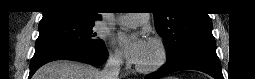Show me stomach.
Segmentation results:
<instances>
[{"instance_id": "1", "label": "stomach", "mask_w": 255, "mask_h": 79, "mask_svg": "<svg viewBox=\"0 0 255 79\" xmlns=\"http://www.w3.org/2000/svg\"><path fill=\"white\" fill-rule=\"evenodd\" d=\"M168 79H175V77H168Z\"/></svg>"}]
</instances>
